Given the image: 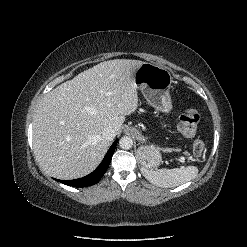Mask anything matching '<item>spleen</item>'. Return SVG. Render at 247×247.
<instances>
[{"label":"spleen","mask_w":247,"mask_h":247,"mask_svg":"<svg viewBox=\"0 0 247 247\" xmlns=\"http://www.w3.org/2000/svg\"><path fill=\"white\" fill-rule=\"evenodd\" d=\"M198 174V168L187 166L174 169L144 170L148 181L159 187L171 188L193 180Z\"/></svg>","instance_id":"3e777b00"}]
</instances>
